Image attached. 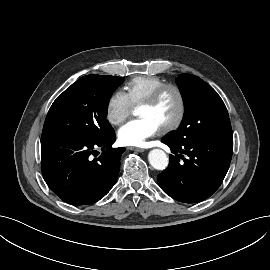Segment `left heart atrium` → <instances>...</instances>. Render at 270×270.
<instances>
[{"label": "left heart atrium", "instance_id": "1", "mask_svg": "<svg viewBox=\"0 0 270 270\" xmlns=\"http://www.w3.org/2000/svg\"><path fill=\"white\" fill-rule=\"evenodd\" d=\"M159 125L149 117H141L125 123L118 130V140L125 146H142L146 140L160 131Z\"/></svg>", "mask_w": 270, "mask_h": 270}]
</instances>
